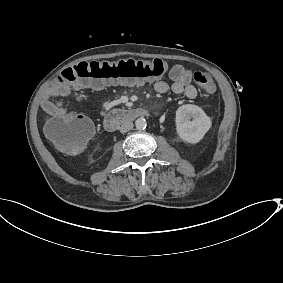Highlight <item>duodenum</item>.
I'll list each match as a JSON object with an SVG mask.
<instances>
[{"label": "duodenum", "mask_w": 283, "mask_h": 283, "mask_svg": "<svg viewBox=\"0 0 283 283\" xmlns=\"http://www.w3.org/2000/svg\"><path fill=\"white\" fill-rule=\"evenodd\" d=\"M147 115V111L141 107L124 110L116 109L107 114L104 118V127L107 131L114 132L121 124L130 120L146 117Z\"/></svg>", "instance_id": "obj_1"}]
</instances>
